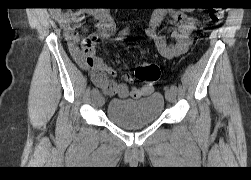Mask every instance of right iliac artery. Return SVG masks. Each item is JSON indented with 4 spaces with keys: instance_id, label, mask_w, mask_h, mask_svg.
I'll return each mask as SVG.
<instances>
[{
    "instance_id": "1",
    "label": "right iliac artery",
    "mask_w": 251,
    "mask_h": 180,
    "mask_svg": "<svg viewBox=\"0 0 251 180\" xmlns=\"http://www.w3.org/2000/svg\"><path fill=\"white\" fill-rule=\"evenodd\" d=\"M128 33V29H124L119 33V37H117V40L121 39V37L125 36ZM92 95L95 96L99 94V90L97 88L92 89Z\"/></svg>"
}]
</instances>
